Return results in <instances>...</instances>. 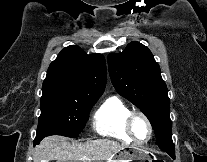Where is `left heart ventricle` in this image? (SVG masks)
Instances as JSON below:
<instances>
[{
	"mask_svg": "<svg viewBox=\"0 0 207 162\" xmlns=\"http://www.w3.org/2000/svg\"><path fill=\"white\" fill-rule=\"evenodd\" d=\"M134 136L138 140H145L148 137L149 130L146 122L141 117H136L132 123Z\"/></svg>",
	"mask_w": 207,
	"mask_h": 162,
	"instance_id": "obj_1",
	"label": "left heart ventricle"
}]
</instances>
